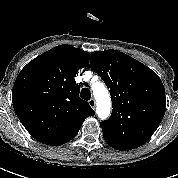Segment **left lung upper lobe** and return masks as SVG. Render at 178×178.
Listing matches in <instances>:
<instances>
[{"mask_svg": "<svg viewBox=\"0 0 178 178\" xmlns=\"http://www.w3.org/2000/svg\"><path fill=\"white\" fill-rule=\"evenodd\" d=\"M90 67L110 89L112 114L100 123L106 143L121 151L143 145L165 114L161 79L149 67L117 50L92 52Z\"/></svg>", "mask_w": 178, "mask_h": 178, "instance_id": "1", "label": "left lung upper lobe"}]
</instances>
